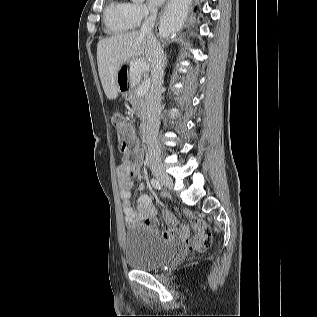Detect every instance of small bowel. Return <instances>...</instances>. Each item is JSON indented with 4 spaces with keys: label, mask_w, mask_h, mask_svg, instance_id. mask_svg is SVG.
I'll return each instance as SVG.
<instances>
[{
    "label": "small bowel",
    "mask_w": 317,
    "mask_h": 317,
    "mask_svg": "<svg viewBox=\"0 0 317 317\" xmlns=\"http://www.w3.org/2000/svg\"><path fill=\"white\" fill-rule=\"evenodd\" d=\"M119 187L122 198L123 213L125 221L128 225H134L139 222H143L147 227L155 230V224L157 219L155 217V211L152 207L151 198L144 194L143 191L146 188L145 184H140L138 187L139 193L136 196V208L131 205L133 180L129 175V170L126 164H122L118 167ZM192 221V227L195 231V235L190 239L189 232L184 225L178 226L176 217L168 212H163V217L167 223L165 230L162 232V237L166 240H173L175 238H181L186 242L198 241L202 239L207 233H209L208 226L201 219L195 217L192 213H188Z\"/></svg>",
    "instance_id": "small-bowel-1"
}]
</instances>
